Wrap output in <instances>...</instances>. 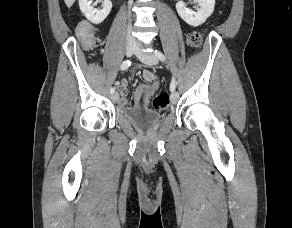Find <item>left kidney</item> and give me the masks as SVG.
Returning <instances> with one entry per match:
<instances>
[{
    "label": "left kidney",
    "mask_w": 292,
    "mask_h": 228,
    "mask_svg": "<svg viewBox=\"0 0 292 228\" xmlns=\"http://www.w3.org/2000/svg\"><path fill=\"white\" fill-rule=\"evenodd\" d=\"M200 8L197 12L188 9L184 2L179 1L176 4V10L179 16L189 25L197 27L203 24L214 11L215 0H195Z\"/></svg>",
    "instance_id": "obj_1"
}]
</instances>
